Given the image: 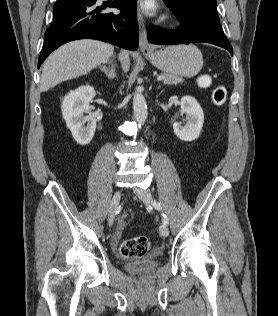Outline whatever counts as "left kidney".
Here are the masks:
<instances>
[{"instance_id": "5707ae66", "label": "left kidney", "mask_w": 278, "mask_h": 316, "mask_svg": "<svg viewBox=\"0 0 278 316\" xmlns=\"http://www.w3.org/2000/svg\"><path fill=\"white\" fill-rule=\"evenodd\" d=\"M180 106L181 113L186 114L187 124L182 127L179 123H174V133L181 140L193 141L199 137L203 127V110L197 100L191 96L182 97Z\"/></svg>"}]
</instances>
